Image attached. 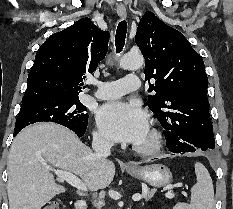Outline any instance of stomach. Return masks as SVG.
Wrapping results in <instances>:
<instances>
[{"label":"stomach","mask_w":233,"mask_h":209,"mask_svg":"<svg viewBox=\"0 0 233 209\" xmlns=\"http://www.w3.org/2000/svg\"><path fill=\"white\" fill-rule=\"evenodd\" d=\"M127 172L150 186L159 188L172 182V173L162 164H152L136 169H127Z\"/></svg>","instance_id":"1"}]
</instances>
